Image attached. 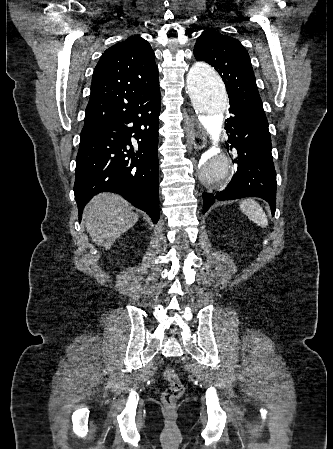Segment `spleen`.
Instances as JSON below:
<instances>
[{
  "instance_id": "3e777b00",
  "label": "spleen",
  "mask_w": 333,
  "mask_h": 449,
  "mask_svg": "<svg viewBox=\"0 0 333 449\" xmlns=\"http://www.w3.org/2000/svg\"><path fill=\"white\" fill-rule=\"evenodd\" d=\"M240 209L255 224L261 227L268 225V218L262 207L252 199H246L240 204Z\"/></svg>"
}]
</instances>
